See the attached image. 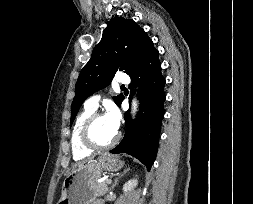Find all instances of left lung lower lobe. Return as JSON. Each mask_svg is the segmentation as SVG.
Returning <instances> with one entry per match:
<instances>
[{
    "label": "left lung lower lobe",
    "mask_w": 253,
    "mask_h": 204,
    "mask_svg": "<svg viewBox=\"0 0 253 204\" xmlns=\"http://www.w3.org/2000/svg\"><path fill=\"white\" fill-rule=\"evenodd\" d=\"M158 56V50L154 46L151 47L139 71L131 76L133 83L136 84L131 88L139 86L137 91L140 97V110L134 123L130 119L129 112H125V136L120 144L110 151L114 154L132 155L145 164L148 170L151 169L157 154L166 99L165 79L161 74Z\"/></svg>",
    "instance_id": "left-lung-lower-lobe-1"
}]
</instances>
